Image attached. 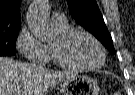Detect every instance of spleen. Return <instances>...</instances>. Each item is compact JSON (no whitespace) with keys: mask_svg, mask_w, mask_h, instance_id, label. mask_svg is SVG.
Wrapping results in <instances>:
<instances>
[{"mask_svg":"<svg viewBox=\"0 0 135 95\" xmlns=\"http://www.w3.org/2000/svg\"><path fill=\"white\" fill-rule=\"evenodd\" d=\"M115 95H120V93H116Z\"/></svg>","mask_w":135,"mask_h":95,"instance_id":"3e777b00","label":"spleen"}]
</instances>
